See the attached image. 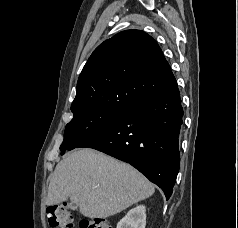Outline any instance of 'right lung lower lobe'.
<instances>
[{
	"label": "right lung lower lobe",
	"mask_w": 238,
	"mask_h": 228,
	"mask_svg": "<svg viewBox=\"0 0 238 228\" xmlns=\"http://www.w3.org/2000/svg\"><path fill=\"white\" fill-rule=\"evenodd\" d=\"M183 108L177 83L129 106L113 123L77 148L128 162L158 185L168 200L180 165Z\"/></svg>",
	"instance_id": "1"
}]
</instances>
